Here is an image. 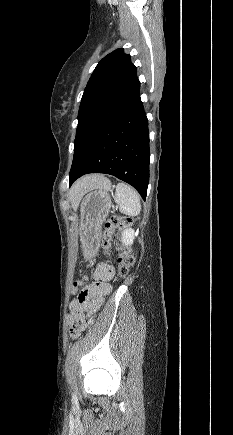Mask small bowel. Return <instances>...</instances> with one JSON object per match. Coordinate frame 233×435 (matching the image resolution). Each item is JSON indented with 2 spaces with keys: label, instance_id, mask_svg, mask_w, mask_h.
I'll list each match as a JSON object with an SVG mask.
<instances>
[{
  "label": "small bowel",
  "instance_id": "obj_1",
  "mask_svg": "<svg viewBox=\"0 0 233 435\" xmlns=\"http://www.w3.org/2000/svg\"><path fill=\"white\" fill-rule=\"evenodd\" d=\"M114 276V267L107 263L97 265L92 274L94 281L82 287L81 281L72 284V291L79 292L70 303L68 325L72 334L82 332L89 323L88 317L95 312L102 302V295L109 292L110 280Z\"/></svg>",
  "mask_w": 233,
  "mask_h": 435
}]
</instances>
